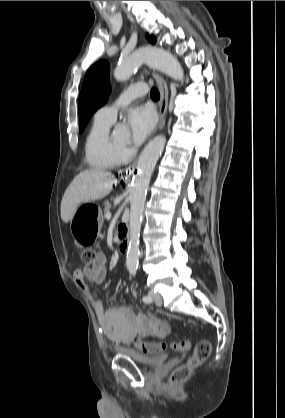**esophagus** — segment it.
Listing matches in <instances>:
<instances>
[{"mask_svg":"<svg viewBox=\"0 0 285 418\" xmlns=\"http://www.w3.org/2000/svg\"><path fill=\"white\" fill-rule=\"evenodd\" d=\"M152 75L158 85V89L160 93L159 123L156 128V130H160L163 128L165 121H166L167 107H168V100H169V90H168L166 81L163 79V77L159 73L153 71ZM135 167H136V162L130 165L126 170L131 171V170H134Z\"/></svg>","mask_w":285,"mask_h":418,"instance_id":"esophagus-1","label":"esophagus"}]
</instances>
